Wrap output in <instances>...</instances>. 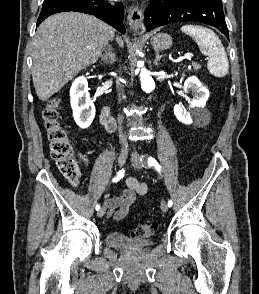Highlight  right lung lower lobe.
<instances>
[{
	"label": "right lung lower lobe",
	"mask_w": 259,
	"mask_h": 294,
	"mask_svg": "<svg viewBox=\"0 0 259 294\" xmlns=\"http://www.w3.org/2000/svg\"><path fill=\"white\" fill-rule=\"evenodd\" d=\"M64 11H78L95 15L121 33H125L122 3H109L106 0H50L43 3L37 26L48 16Z\"/></svg>",
	"instance_id": "98d812e1"
}]
</instances>
